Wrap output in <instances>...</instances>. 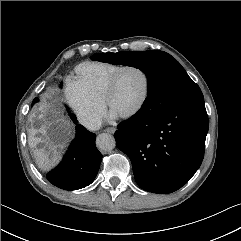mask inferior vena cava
<instances>
[{
	"label": "inferior vena cava",
	"mask_w": 241,
	"mask_h": 241,
	"mask_svg": "<svg viewBox=\"0 0 241 241\" xmlns=\"http://www.w3.org/2000/svg\"><path fill=\"white\" fill-rule=\"evenodd\" d=\"M101 119H90L86 120L84 125L90 130H98L101 127Z\"/></svg>",
	"instance_id": "inferior-vena-cava-1"
}]
</instances>
